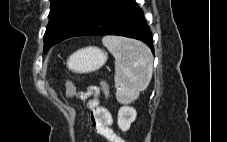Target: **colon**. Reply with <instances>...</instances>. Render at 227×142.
<instances>
[{"label": "colon", "instance_id": "1", "mask_svg": "<svg viewBox=\"0 0 227 142\" xmlns=\"http://www.w3.org/2000/svg\"><path fill=\"white\" fill-rule=\"evenodd\" d=\"M101 87L104 93L107 92V87L104 83H101ZM76 95V88L72 81H68L67 83V90H66V96L71 99Z\"/></svg>", "mask_w": 227, "mask_h": 142}]
</instances>
